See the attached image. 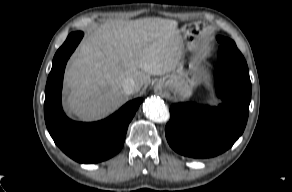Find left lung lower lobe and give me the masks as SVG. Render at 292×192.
<instances>
[{"instance_id": "0a47b994", "label": "left lung lower lobe", "mask_w": 292, "mask_h": 192, "mask_svg": "<svg viewBox=\"0 0 292 192\" xmlns=\"http://www.w3.org/2000/svg\"><path fill=\"white\" fill-rule=\"evenodd\" d=\"M216 82L223 103L200 108L193 103L174 104L165 127L167 141L179 154L208 158L229 149L243 133L251 100L247 63L237 49L221 45Z\"/></svg>"}]
</instances>
